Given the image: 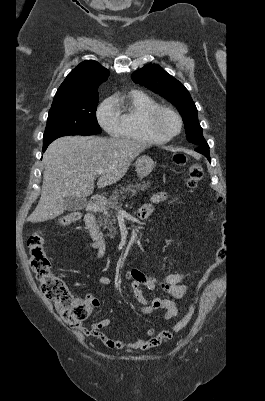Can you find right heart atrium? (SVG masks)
<instances>
[{
  "label": "right heart atrium",
  "instance_id": "obj_1",
  "mask_svg": "<svg viewBox=\"0 0 265 401\" xmlns=\"http://www.w3.org/2000/svg\"><path fill=\"white\" fill-rule=\"evenodd\" d=\"M96 116L100 125L110 132H114L118 126L117 116L112 98L104 99L96 110Z\"/></svg>",
  "mask_w": 265,
  "mask_h": 401
}]
</instances>
